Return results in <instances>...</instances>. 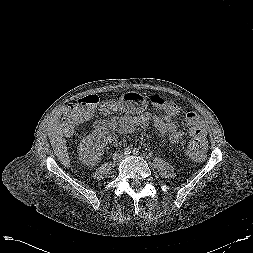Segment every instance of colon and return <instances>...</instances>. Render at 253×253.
<instances>
[{"label": "colon", "instance_id": "5ec220e1", "mask_svg": "<svg viewBox=\"0 0 253 253\" xmlns=\"http://www.w3.org/2000/svg\"><path fill=\"white\" fill-rule=\"evenodd\" d=\"M151 101L155 106L166 108L170 111H174L175 109L173 105L167 104L160 96H153ZM98 103V96L88 95L69 104L64 110L62 117V123L65 130L72 132L80 123L91 118ZM186 121L190 127L192 135V139L188 145V154L194 160H201L204 158L208 149L205 124L195 113H188L186 115Z\"/></svg>", "mask_w": 253, "mask_h": 253}]
</instances>
